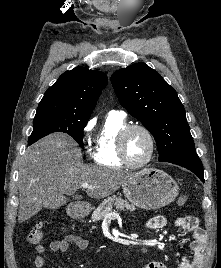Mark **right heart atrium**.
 <instances>
[{
  "label": "right heart atrium",
  "mask_w": 221,
  "mask_h": 268,
  "mask_svg": "<svg viewBox=\"0 0 221 268\" xmlns=\"http://www.w3.org/2000/svg\"><path fill=\"white\" fill-rule=\"evenodd\" d=\"M94 124H95L94 120H89L87 122V124L84 127V133H85L86 136L92 131V129L94 127ZM86 150H87V153L91 152L90 148L88 146L86 147Z\"/></svg>",
  "instance_id": "right-heart-atrium-1"
}]
</instances>
